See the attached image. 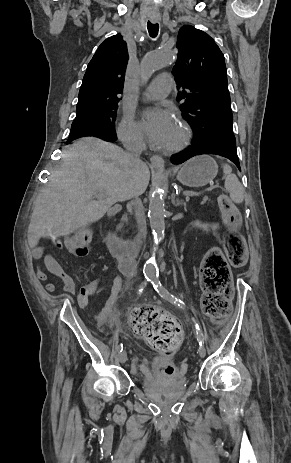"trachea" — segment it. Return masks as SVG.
I'll return each mask as SVG.
<instances>
[{"label":"trachea","mask_w":291,"mask_h":463,"mask_svg":"<svg viewBox=\"0 0 291 463\" xmlns=\"http://www.w3.org/2000/svg\"><path fill=\"white\" fill-rule=\"evenodd\" d=\"M147 28H148L149 35L152 38H155L158 35V31H159V25L158 24H153L151 22H148L147 23Z\"/></svg>","instance_id":"1"}]
</instances>
